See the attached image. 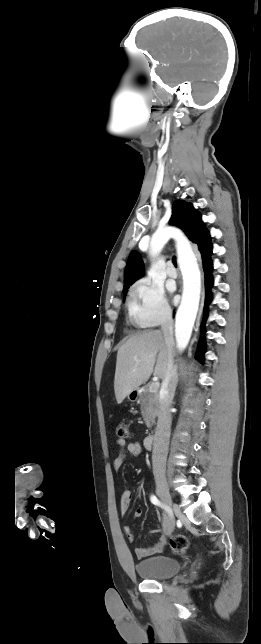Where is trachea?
<instances>
[{"label": "trachea", "mask_w": 261, "mask_h": 644, "mask_svg": "<svg viewBox=\"0 0 261 644\" xmlns=\"http://www.w3.org/2000/svg\"><path fill=\"white\" fill-rule=\"evenodd\" d=\"M172 261H173V264L175 265V267H177L176 257H173Z\"/></svg>", "instance_id": "obj_1"}]
</instances>
